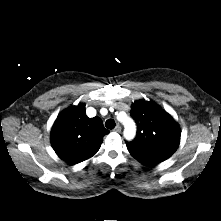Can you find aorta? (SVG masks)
<instances>
[{
	"label": "aorta",
	"mask_w": 221,
	"mask_h": 221,
	"mask_svg": "<svg viewBox=\"0 0 221 221\" xmlns=\"http://www.w3.org/2000/svg\"><path fill=\"white\" fill-rule=\"evenodd\" d=\"M120 121L124 125V137L128 140L134 138L136 133V127L133 120L127 116H124L123 118H120Z\"/></svg>",
	"instance_id": "aorta-1"
}]
</instances>
